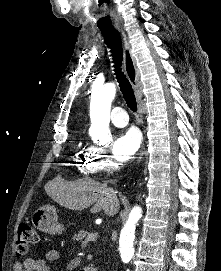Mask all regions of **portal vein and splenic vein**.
<instances>
[{
    "instance_id": "portal-vein-and-splenic-vein-1",
    "label": "portal vein and splenic vein",
    "mask_w": 221,
    "mask_h": 271,
    "mask_svg": "<svg viewBox=\"0 0 221 271\" xmlns=\"http://www.w3.org/2000/svg\"><path fill=\"white\" fill-rule=\"evenodd\" d=\"M96 232L94 231L93 233H90V234H88L87 236H86V238H85V241L86 242H95L97 239L95 238L96 237Z\"/></svg>"
}]
</instances>
